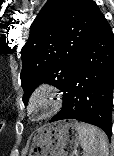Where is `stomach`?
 I'll return each instance as SVG.
<instances>
[{"label":"stomach","instance_id":"1","mask_svg":"<svg viewBox=\"0 0 114 156\" xmlns=\"http://www.w3.org/2000/svg\"><path fill=\"white\" fill-rule=\"evenodd\" d=\"M78 124L64 120L42 127L32 139L29 156H75L81 142Z\"/></svg>","mask_w":114,"mask_h":156}]
</instances>
